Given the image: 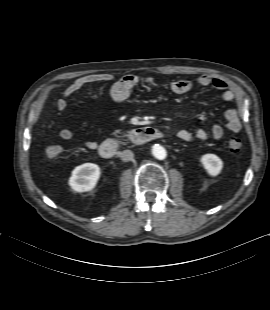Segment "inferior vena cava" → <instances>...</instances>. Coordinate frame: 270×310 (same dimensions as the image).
I'll use <instances>...</instances> for the list:
<instances>
[{"label": "inferior vena cava", "instance_id": "1", "mask_svg": "<svg viewBox=\"0 0 270 310\" xmlns=\"http://www.w3.org/2000/svg\"><path fill=\"white\" fill-rule=\"evenodd\" d=\"M121 160L124 162L131 161L134 157V154L131 150H124L120 153Z\"/></svg>", "mask_w": 270, "mask_h": 310}]
</instances>
